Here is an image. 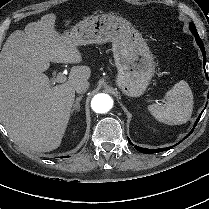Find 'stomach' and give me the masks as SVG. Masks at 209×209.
<instances>
[{
	"mask_svg": "<svg viewBox=\"0 0 209 209\" xmlns=\"http://www.w3.org/2000/svg\"><path fill=\"white\" fill-rule=\"evenodd\" d=\"M62 36L75 46L112 42L117 86L131 97L145 92L155 73V62L142 35L128 20L111 13L91 15Z\"/></svg>",
	"mask_w": 209,
	"mask_h": 209,
	"instance_id": "0dacf381",
	"label": "stomach"
}]
</instances>
